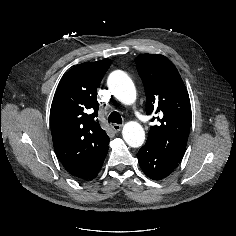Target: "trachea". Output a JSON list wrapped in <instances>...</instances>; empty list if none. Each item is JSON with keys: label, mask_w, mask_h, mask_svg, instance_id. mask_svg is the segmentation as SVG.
Here are the masks:
<instances>
[{"label": "trachea", "mask_w": 236, "mask_h": 236, "mask_svg": "<svg viewBox=\"0 0 236 236\" xmlns=\"http://www.w3.org/2000/svg\"><path fill=\"white\" fill-rule=\"evenodd\" d=\"M108 122L122 124L121 115L118 112L113 111L108 117Z\"/></svg>", "instance_id": "trachea-1"}]
</instances>
